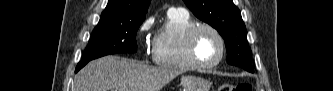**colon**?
I'll list each match as a JSON object with an SVG mask.
<instances>
[{
    "label": "colon",
    "instance_id": "colon-1",
    "mask_svg": "<svg viewBox=\"0 0 333 91\" xmlns=\"http://www.w3.org/2000/svg\"><path fill=\"white\" fill-rule=\"evenodd\" d=\"M252 86L250 83L243 82L239 84H224L221 85L219 91H251Z\"/></svg>",
    "mask_w": 333,
    "mask_h": 91
}]
</instances>
